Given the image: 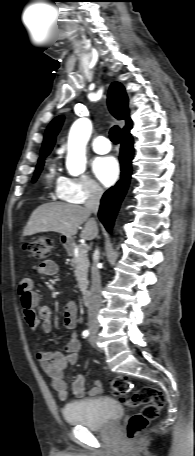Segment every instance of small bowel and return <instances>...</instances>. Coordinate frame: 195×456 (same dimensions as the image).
<instances>
[{"label":"small bowel","mask_w":195,"mask_h":456,"mask_svg":"<svg viewBox=\"0 0 195 456\" xmlns=\"http://www.w3.org/2000/svg\"><path fill=\"white\" fill-rule=\"evenodd\" d=\"M33 271L39 277L54 276L58 272V265L53 260H45L38 265L32 266ZM18 296L20 298L24 319L27 325L36 330L41 328L43 332L50 333L52 330L51 312L48 306L38 307V294L34 291V281L30 277L22 278L18 284ZM77 321V309L73 302L66 304L64 309V327L70 330V335L65 346V352L58 350L39 351L37 360L44 372L49 376L53 389L57 392L61 401H66L69 396L68 385L64 379V371L74 365L78 359L80 342L74 331ZM71 391L76 397L97 396L103 388L99 380H95L93 387L85 388V376L78 375L71 384Z\"/></svg>","instance_id":"obj_1"}]
</instances>
